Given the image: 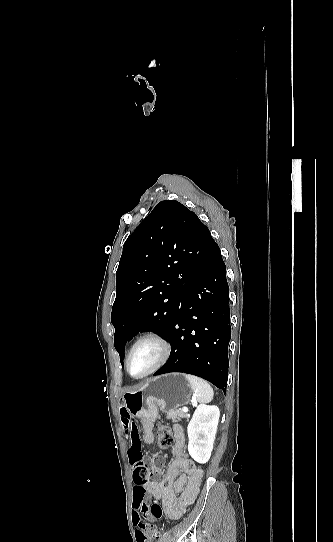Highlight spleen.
Segmentation results:
<instances>
[{"instance_id":"obj_1","label":"spleen","mask_w":333,"mask_h":542,"mask_svg":"<svg viewBox=\"0 0 333 542\" xmlns=\"http://www.w3.org/2000/svg\"><path fill=\"white\" fill-rule=\"evenodd\" d=\"M184 376L187 382H189L191 390H193L197 398V402H200V404H209L213 400V388H211L208 382L197 378V376H190V374H184Z\"/></svg>"}]
</instances>
